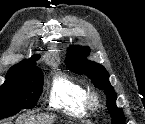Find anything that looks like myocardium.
Here are the masks:
<instances>
[{
	"instance_id": "1",
	"label": "myocardium",
	"mask_w": 145,
	"mask_h": 124,
	"mask_svg": "<svg viewBox=\"0 0 145 124\" xmlns=\"http://www.w3.org/2000/svg\"><path fill=\"white\" fill-rule=\"evenodd\" d=\"M100 103L99 94L96 91H89L86 99L88 109H96Z\"/></svg>"
}]
</instances>
